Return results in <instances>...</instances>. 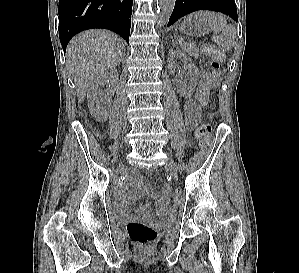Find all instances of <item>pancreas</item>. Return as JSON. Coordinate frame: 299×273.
Returning <instances> with one entry per match:
<instances>
[{
	"instance_id": "cf45deb5",
	"label": "pancreas",
	"mask_w": 299,
	"mask_h": 273,
	"mask_svg": "<svg viewBox=\"0 0 299 273\" xmlns=\"http://www.w3.org/2000/svg\"><path fill=\"white\" fill-rule=\"evenodd\" d=\"M184 50L187 51L191 56L198 58L199 57V50L191 44H185Z\"/></svg>"
}]
</instances>
